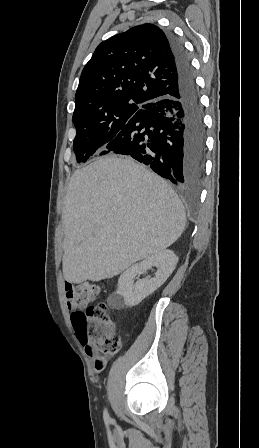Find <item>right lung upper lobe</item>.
Wrapping results in <instances>:
<instances>
[{
  "label": "right lung upper lobe",
  "mask_w": 259,
  "mask_h": 448,
  "mask_svg": "<svg viewBox=\"0 0 259 448\" xmlns=\"http://www.w3.org/2000/svg\"><path fill=\"white\" fill-rule=\"evenodd\" d=\"M178 74L167 35L138 25L102 42L84 67L73 115L143 106L173 94Z\"/></svg>",
  "instance_id": "right-lung-upper-lobe-1"
}]
</instances>
